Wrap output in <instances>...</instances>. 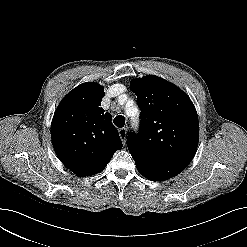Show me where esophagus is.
I'll return each mask as SVG.
<instances>
[{
	"mask_svg": "<svg viewBox=\"0 0 247 247\" xmlns=\"http://www.w3.org/2000/svg\"><path fill=\"white\" fill-rule=\"evenodd\" d=\"M118 132H119V135H120V138H121L123 144H125V142H126V135H127V130H126V128H120V129L118 130Z\"/></svg>",
	"mask_w": 247,
	"mask_h": 247,
	"instance_id": "esophagus-1",
	"label": "esophagus"
}]
</instances>
